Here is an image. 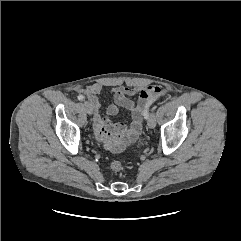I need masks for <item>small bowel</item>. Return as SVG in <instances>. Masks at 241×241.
Instances as JSON below:
<instances>
[{"label":"small bowel","instance_id":"c3829d8e","mask_svg":"<svg viewBox=\"0 0 241 241\" xmlns=\"http://www.w3.org/2000/svg\"><path fill=\"white\" fill-rule=\"evenodd\" d=\"M103 86L93 83L84 89L81 94L88 97L96 114L94 118V131L97 139L110 151L119 152L126 146L136 141L142 128L144 111L156 99L165 93V90L157 85L143 87L117 86L111 89L113 103L106 108V115L102 114V105L99 100ZM137 97L134 102L131 98ZM123 108L131 113L129 122H113L111 118L116 116L119 109Z\"/></svg>","mask_w":241,"mask_h":241}]
</instances>
